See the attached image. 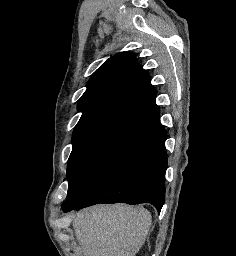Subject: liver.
Masks as SVG:
<instances>
[{
	"instance_id": "1",
	"label": "liver",
	"mask_w": 236,
	"mask_h": 256,
	"mask_svg": "<svg viewBox=\"0 0 236 256\" xmlns=\"http://www.w3.org/2000/svg\"><path fill=\"white\" fill-rule=\"evenodd\" d=\"M142 206H92L76 212L73 230L84 256H136L151 226Z\"/></svg>"
}]
</instances>
